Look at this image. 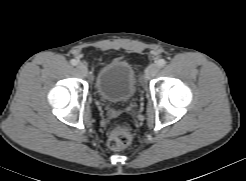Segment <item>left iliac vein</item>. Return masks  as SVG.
<instances>
[{"label":"left iliac vein","instance_id":"1","mask_svg":"<svg viewBox=\"0 0 246 181\" xmlns=\"http://www.w3.org/2000/svg\"><path fill=\"white\" fill-rule=\"evenodd\" d=\"M159 71L158 64L152 63L146 69V77L150 79L151 77L155 76Z\"/></svg>","mask_w":246,"mask_h":181}]
</instances>
